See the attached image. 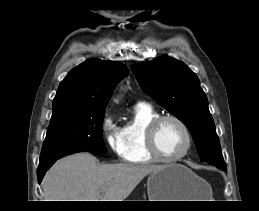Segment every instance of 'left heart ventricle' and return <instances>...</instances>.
I'll use <instances>...</instances> for the list:
<instances>
[{"instance_id": "b2bd125f", "label": "left heart ventricle", "mask_w": 259, "mask_h": 211, "mask_svg": "<svg viewBox=\"0 0 259 211\" xmlns=\"http://www.w3.org/2000/svg\"><path fill=\"white\" fill-rule=\"evenodd\" d=\"M186 136L182 128L174 121L167 120L157 132V144L161 153L167 157L179 155L186 147Z\"/></svg>"}]
</instances>
